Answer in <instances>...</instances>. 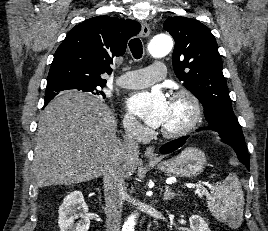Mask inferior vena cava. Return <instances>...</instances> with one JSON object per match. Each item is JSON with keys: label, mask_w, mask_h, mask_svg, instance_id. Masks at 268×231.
I'll return each mask as SVG.
<instances>
[{"label": "inferior vena cava", "mask_w": 268, "mask_h": 231, "mask_svg": "<svg viewBox=\"0 0 268 231\" xmlns=\"http://www.w3.org/2000/svg\"><path fill=\"white\" fill-rule=\"evenodd\" d=\"M139 132L140 129L135 123L127 124L122 148L112 155L104 168L106 231H120L126 178L123 162L124 160L133 162L138 159Z\"/></svg>", "instance_id": "inferior-vena-cava-1"}]
</instances>
